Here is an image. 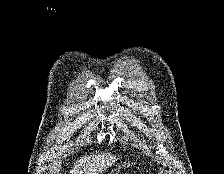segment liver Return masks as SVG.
<instances>
[{"instance_id": "1", "label": "liver", "mask_w": 224, "mask_h": 174, "mask_svg": "<svg viewBox=\"0 0 224 174\" xmlns=\"http://www.w3.org/2000/svg\"><path fill=\"white\" fill-rule=\"evenodd\" d=\"M116 156L111 153H98L81 157L74 163L69 174H99L116 161Z\"/></svg>"}]
</instances>
